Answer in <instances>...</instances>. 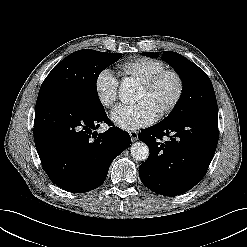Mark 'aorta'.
Returning <instances> with one entry per match:
<instances>
[{
	"mask_svg": "<svg viewBox=\"0 0 247 247\" xmlns=\"http://www.w3.org/2000/svg\"><path fill=\"white\" fill-rule=\"evenodd\" d=\"M135 89L127 83H122L119 88L121 102L128 103L134 98ZM131 156L136 161H145L149 156V148L144 142H135L130 148Z\"/></svg>",
	"mask_w": 247,
	"mask_h": 247,
	"instance_id": "1",
	"label": "aorta"
}]
</instances>
